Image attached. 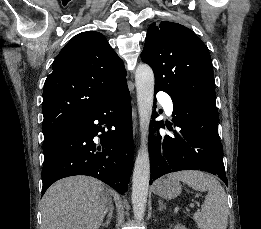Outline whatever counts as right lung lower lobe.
<instances>
[{
    "label": "right lung lower lobe",
    "instance_id": "obj_1",
    "mask_svg": "<svg viewBox=\"0 0 261 229\" xmlns=\"http://www.w3.org/2000/svg\"><path fill=\"white\" fill-rule=\"evenodd\" d=\"M95 136L100 138V146L94 143ZM43 153L42 195L55 181L74 175L95 177L124 194L133 168L127 85L87 117L45 140Z\"/></svg>",
    "mask_w": 261,
    "mask_h": 229
}]
</instances>
